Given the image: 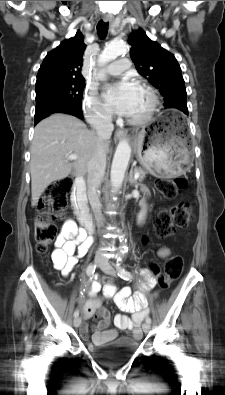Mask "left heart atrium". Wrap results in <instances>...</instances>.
<instances>
[{
    "instance_id": "left-heart-atrium-1",
    "label": "left heart atrium",
    "mask_w": 225,
    "mask_h": 395,
    "mask_svg": "<svg viewBox=\"0 0 225 395\" xmlns=\"http://www.w3.org/2000/svg\"><path fill=\"white\" fill-rule=\"evenodd\" d=\"M139 89L137 84L124 79L109 87L103 97L110 111L118 115L130 116L134 110Z\"/></svg>"
}]
</instances>
